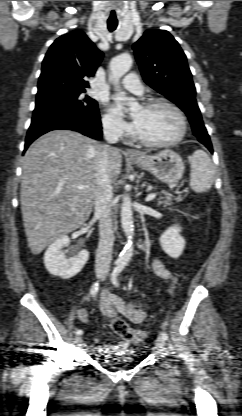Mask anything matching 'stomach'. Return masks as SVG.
<instances>
[{
    "label": "stomach",
    "mask_w": 242,
    "mask_h": 416,
    "mask_svg": "<svg viewBox=\"0 0 242 416\" xmlns=\"http://www.w3.org/2000/svg\"><path fill=\"white\" fill-rule=\"evenodd\" d=\"M131 162L166 184L178 182L184 173L182 158L168 149L154 155H143L142 160H131Z\"/></svg>",
    "instance_id": "obj_1"
}]
</instances>
